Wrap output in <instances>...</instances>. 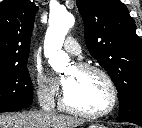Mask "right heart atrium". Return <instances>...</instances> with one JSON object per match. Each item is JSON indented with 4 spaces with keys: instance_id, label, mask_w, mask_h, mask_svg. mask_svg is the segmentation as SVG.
I'll return each mask as SVG.
<instances>
[{
    "instance_id": "d8ad5b80",
    "label": "right heart atrium",
    "mask_w": 142,
    "mask_h": 128,
    "mask_svg": "<svg viewBox=\"0 0 142 128\" xmlns=\"http://www.w3.org/2000/svg\"><path fill=\"white\" fill-rule=\"evenodd\" d=\"M35 85L38 97L45 102H53L57 92L58 85L54 77L44 72L42 67L35 69Z\"/></svg>"
}]
</instances>
